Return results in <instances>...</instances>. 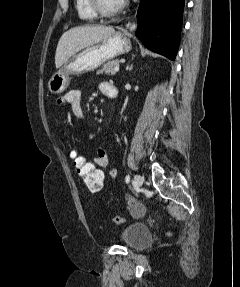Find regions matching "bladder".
I'll use <instances>...</instances> for the list:
<instances>
[{
    "mask_svg": "<svg viewBox=\"0 0 240 287\" xmlns=\"http://www.w3.org/2000/svg\"><path fill=\"white\" fill-rule=\"evenodd\" d=\"M152 234L149 227L143 223L134 222L121 232L122 243L131 249H141L151 243Z\"/></svg>",
    "mask_w": 240,
    "mask_h": 287,
    "instance_id": "31cf9c89",
    "label": "bladder"
}]
</instances>
